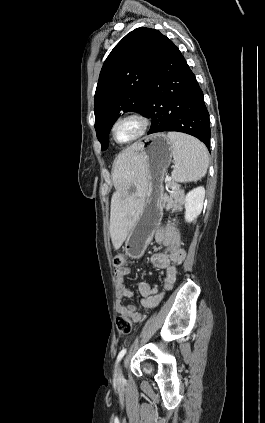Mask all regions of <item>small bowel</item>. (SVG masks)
Instances as JSON below:
<instances>
[{"mask_svg": "<svg viewBox=\"0 0 265 423\" xmlns=\"http://www.w3.org/2000/svg\"><path fill=\"white\" fill-rule=\"evenodd\" d=\"M154 241L162 245L165 250L155 253L151 256L152 265L164 271L162 288L164 291L173 287L176 278V264L183 262L186 252L181 246V240L175 227L171 224L160 227L154 234ZM130 273L127 266L116 268L115 281L117 284L118 301L116 303V312L126 314L133 323H139L143 314L134 304H125L124 298L133 297V291L125 285V278ZM140 294V303L145 309L155 307L163 298V292H160L157 286H151L147 282H140L138 285Z\"/></svg>", "mask_w": 265, "mask_h": 423, "instance_id": "obj_1", "label": "small bowel"}]
</instances>
